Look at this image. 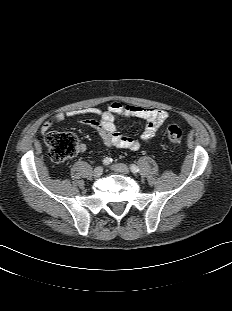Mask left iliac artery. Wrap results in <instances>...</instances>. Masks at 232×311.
I'll return each instance as SVG.
<instances>
[{"instance_id": "obj_1", "label": "left iliac artery", "mask_w": 232, "mask_h": 311, "mask_svg": "<svg viewBox=\"0 0 232 311\" xmlns=\"http://www.w3.org/2000/svg\"><path fill=\"white\" fill-rule=\"evenodd\" d=\"M130 169H131V172H133V173L139 172V168L134 164L130 165Z\"/></svg>"}]
</instances>
